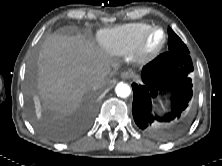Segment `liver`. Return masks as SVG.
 <instances>
[{"instance_id":"obj_1","label":"liver","mask_w":222,"mask_h":166,"mask_svg":"<svg viewBox=\"0 0 222 166\" xmlns=\"http://www.w3.org/2000/svg\"><path fill=\"white\" fill-rule=\"evenodd\" d=\"M116 66L93 41L81 35L48 37L43 44L38 81L44 108L58 116L70 115L88 90L106 84L107 76ZM90 76H101V85L90 84Z\"/></svg>"}]
</instances>
